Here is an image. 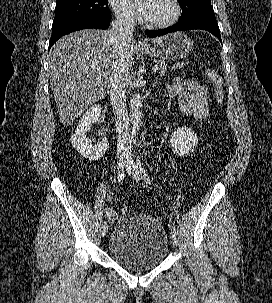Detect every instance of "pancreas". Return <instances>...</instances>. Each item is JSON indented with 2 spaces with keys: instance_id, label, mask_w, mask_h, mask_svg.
Masks as SVG:
<instances>
[{
  "instance_id": "1",
  "label": "pancreas",
  "mask_w": 272,
  "mask_h": 303,
  "mask_svg": "<svg viewBox=\"0 0 272 303\" xmlns=\"http://www.w3.org/2000/svg\"><path fill=\"white\" fill-rule=\"evenodd\" d=\"M157 67L159 68V74L161 76H165L166 75V71H167V64L165 63L164 60H159L157 61Z\"/></svg>"
}]
</instances>
